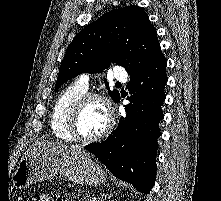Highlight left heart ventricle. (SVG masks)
<instances>
[{"mask_svg": "<svg viewBox=\"0 0 221 201\" xmlns=\"http://www.w3.org/2000/svg\"><path fill=\"white\" fill-rule=\"evenodd\" d=\"M107 112L104 104L93 100L87 103L78 121V131L82 136L91 137L99 134L107 125Z\"/></svg>", "mask_w": 221, "mask_h": 201, "instance_id": "left-heart-ventricle-1", "label": "left heart ventricle"}]
</instances>
